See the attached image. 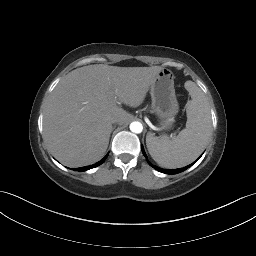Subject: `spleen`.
I'll list each match as a JSON object with an SVG mask.
<instances>
[{"instance_id":"spleen-1","label":"spleen","mask_w":256,"mask_h":256,"mask_svg":"<svg viewBox=\"0 0 256 256\" xmlns=\"http://www.w3.org/2000/svg\"><path fill=\"white\" fill-rule=\"evenodd\" d=\"M191 96L186 104V127L168 139L149 134L148 151L155 162L165 168H180L193 162L204 150L212 132L210 106L202 90L192 81L185 83Z\"/></svg>"}]
</instances>
